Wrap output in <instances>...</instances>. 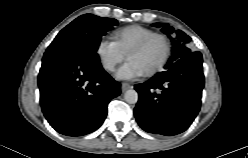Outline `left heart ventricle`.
<instances>
[{
	"label": "left heart ventricle",
	"mask_w": 248,
	"mask_h": 158,
	"mask_svg": "<svg viewBox=\"0 0 248 158\" xmlns=\"http://www.w3.org/2000/svg\"><path fill=\"white\" fill-rule=\"evenodd\" d=\"M165 46L162 40L153 39L144 49L132 53L128 59L136 62L144 72L156 67L163 58Z\"/></svg>",
	"instance_id": "b2bd125f"
}]
</instances>
